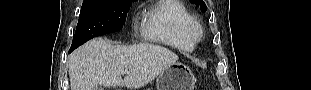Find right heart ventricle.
<instances>
[{"instance_id": "right-heart-ventricle-1", "label": "right heart ventricle", "mask_w": 311, "mask_h": 90, "mask_svg": "<svg viewBox=\"0 0 311 90\" xmlns=\"http://www.w3.org/2000/svg\"><path fill=\"white\" fill-rule=\"evenodd\" d=\"M195 23L196 18L182 1L162 0L144 12L141 30L147 40L191 51L195 43L189 28Z\"/></svg>"}]
</instances>
